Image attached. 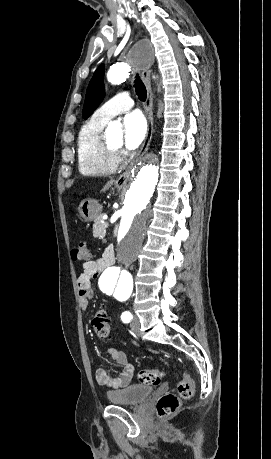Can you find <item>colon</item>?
<instances>
[{
    "instance_id": "colon-1",
    "label": "colon",
    "mask_w": 271,
    "mask_h": 459,
    "mask_svg": "<svg viewBox=\"0 0 271 459\" xmlns=\"http://www.w3.org/2000/svg\"><path fill=\"white\" fill-rule=\"evenodd\" d=\"M73 261H90L92 257L89 245L81 241L77 247L71 251ZM91 325L95 335L100 340H105L110 335V321L105 308L99 307L94 312ZM163 378V372L158 369H145L138 373V379L146 385H159ZM194 392L192 378L188 373H183L177 385L176 392H168L162 395L157 402V413L159 417H168L174 414L180 407L181 399H189Z\"/></svg>"
}]
</instances>
